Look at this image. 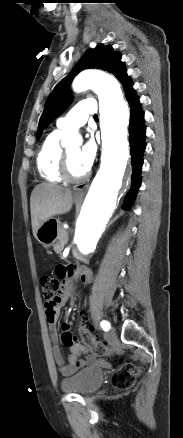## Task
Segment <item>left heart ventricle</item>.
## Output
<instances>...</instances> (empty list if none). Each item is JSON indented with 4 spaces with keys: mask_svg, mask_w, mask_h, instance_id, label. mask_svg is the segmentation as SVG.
<instances>
[{
    "mask_svg": "<svg viewBox=\"0 0 183 438\" xmlns=\"http://www.w3.org/2000/svg\"><path fill=\"white\" fill-rule=\"evenodd\" d=\"M68 159H69V171L72 176L80 177L86 173V169L80 160V148L74 146L67 149Z\"/></svg>",
    "mask_w": 183,
    "mask_h": 438,
    "instance_id": "1",
    "label": "left heart ventricle"
}]
</instances>
